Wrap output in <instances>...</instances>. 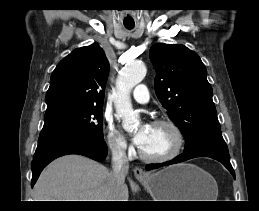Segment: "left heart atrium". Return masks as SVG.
Returning <instances> with one entry per match:
<instances>
[{
    "instance_id": "39dd6f15",
    "label": "left heart atrium",
    "mask_w": 259,
    "mask_h": 211,
    "mask_svg": "<svg viewBox=\"0 0 259 211\" xmlns=\"http://www.w3.org/2000/svg\"><path fill=\"white\" fill-rule=\"evenodd\" d=\"M149 129H150V125L143 124L139 128V130L135 133V135L133 137V141L137 146L141 147L144 144V142L148 136Z\"/></svg>"
}]
</instances>
